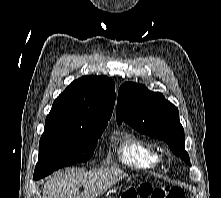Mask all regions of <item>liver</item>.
I'll return each instance as SVG.
<instances>
[{
  "mask_svg": "<svg viewBox=\"0 0 221 198\" xmlns=\"http://www.w3.org/2000/svg\"><path fill=\"white\" fill-rule=\"evenodd\" d=\"M125 177L127 174L118 168L61 173L45 183L43 198H98ZM82 186L84 192L80 194Z\"/></svg>",
  "mask_w": 221,
  "mask_h": 198,
  "instance_id": "liver-1",
  "label": "liver"
}]
</instances>
